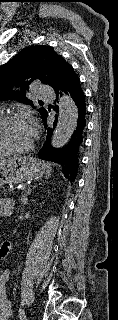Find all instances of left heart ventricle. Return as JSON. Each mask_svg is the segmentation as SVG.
Segmentation results:
<instances>
[{"label":"left heart ventricle","mask_w":118,"mask_h":320,"mask_svg":"<svg viewBox=\"0 0 118 320\" xmlns=\"http://www.w3.org/2000/svg\"><path fill=\"white\" fill-rule=\"evenodd\" d=\"M2 139L14 149L25 148L33 140V132L27 122L8 124L2 131Z\"/></svg>","instance_id":"obj_1"}]
</instances>
